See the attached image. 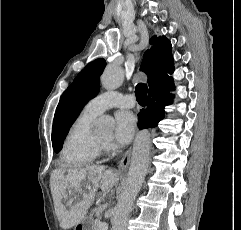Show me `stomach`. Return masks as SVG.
<instances>
[{"label":"stomach","mask_w":241,"mask_h":230,"mask_svg":"<svg viewBox=\"0 0 241 230\" xmlns=\"http://www.w3.org/2000/svg\"><path fill=\"white\" fill-rule=\"evenodd\" d=\"M94 222L89 218H84L78 225L75 226V230H93Z\"/></svg>","instance_id":"obj_1"}]
</instances>
